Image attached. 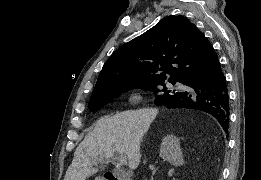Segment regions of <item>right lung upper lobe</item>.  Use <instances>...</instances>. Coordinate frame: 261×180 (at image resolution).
I'll return each mask as SVG.
<instances>
[{
    "label": "right lung upper lobe",
    "mask_w": 261,
    "mask_h": 180,
    "mask_svg": "<svg viewBox=\"0 0 261 180\" xmlns=\"http://www.w3.org/2000/svg\"><path fill=\"white\" fill-rule=\"evenodd\" d=\"M217 62L213 46L193 23L183 16H167L110 56L90 99L168 78L183 82Z\"/></svg>",
    "instance_id": "right-lung-upper-lobe-1"
}]
</instances>
